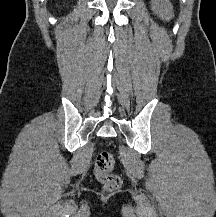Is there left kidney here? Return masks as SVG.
<instances>
[{"label": "left kidney", "mask_w": 216, "mask_h": 217, "mask_svg": "<svg viewBox=\"0 0 216 217\" xmlns=\"http://www.w3.org/2000/svg\"><path fill=\"white\" fill-rule=\"evenodd\" d=\"M152 10L162 20H170L173 17V9L169 0H151Z\"/></svg>", "instance_id": "1"}]
</instances>
